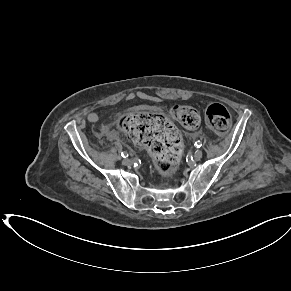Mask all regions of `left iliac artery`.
<instances>
[{"label":"left iliac artery","mask_w":291,"mask_h":291,"mask_svg":"<svg viewBox=\"0 0 291 291\" xmlns=\"http://www.w3.org/2000/svg\"><path fill=\"white\" fill-rule=\"evenodd\" d=\"M195 146H196L197 148H200V147L202 146V143H201L200 141H196V142H195Z\"/></svg>","instance_id":"44dca946"}]
</instances>
